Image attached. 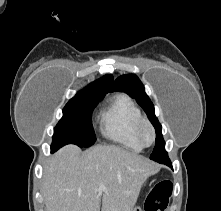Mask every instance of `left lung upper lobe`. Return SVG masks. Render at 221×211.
Masks as SVG:
<instances>
[{
    "label": "left lung upper lobe",
    "instance_id": "5c2ea615",
    "mask_svg": "<svg viewBox=\"0 0 221 211\" xmlns=\"http://www.w3.org/2000/svg\"><path fill=\"white\" fill-rule=\"evenodd\" d=\"M112 91H122L135 98L137 103L144 109L153 124L156 131L155 148L150 156V159L161 162L169 159L165 151V141L163 139L161 130L162 126L155 116V109L150 98L145 93V89L139 78L134 74L122 75L116 79L112 86Z\"/></svg>",
    "mask_w": 221,
    "mask_h": 211
}]
</instances>
